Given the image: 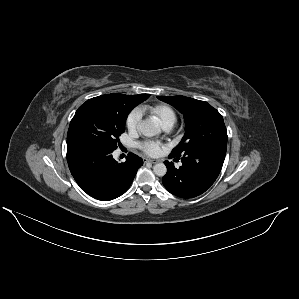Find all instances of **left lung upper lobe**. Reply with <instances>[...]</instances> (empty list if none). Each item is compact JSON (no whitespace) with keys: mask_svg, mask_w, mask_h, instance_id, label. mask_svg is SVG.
<instances>
[{"mask_svg":"<svg viewBox=\"0 0 299 299\" xmlns=\"http://www.w3.org/2000/svg\"><path fill=\"white\" fill-rule=\"evenodd\" d=\"M174 106L185 119V134L173 149L172 157H182L209 145H227V131L222 115L205 101L185 96H157Z\"/></svg>","mask_w":299,"mask_h":299,"instance_id":"1","label":"left lung upper lobe"}]
</instances>
